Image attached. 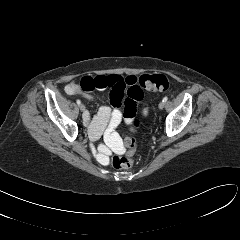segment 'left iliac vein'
Instances as JSON below:
<instances>
[{
  "label": "left iliac vein",
  "mask_w": 240,
  "mask_h": 240,
  "mask_svg": "<svg viewBox=\"0 0 240 240\" xmlns=\"http://www.w3.org/2000/svg\"><path fill=\"white\" fill-rule=\"evenodd\" d=\"M164 106H165V102H163V101L160 102L159 105H158L160 110H162L164 108Z\"/></svg>",
  "instance_id": "4c4485c4"
}]
</instances>
